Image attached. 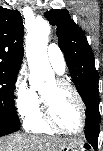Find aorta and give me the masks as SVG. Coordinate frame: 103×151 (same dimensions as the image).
I'll return each instance as SVG.
<instances>
[{
  "label": "aorta",
  "mask_w": 103,
  "mask_h": 151,
  "mask_svg": "<svg viewBox=\"0 0 103 151\" xmlns=\"http://www.w3.org/2000/svg\"><path fill=\"white\" fill-rule=\"evenodd\" d=\"M49 34L50 26L44 19L35 20L28 28L26 57L31 76L42 78L44 73H51L47 55Z\"/></svg>",
  "instance_id": "762f6f07"
}]
</instances>
